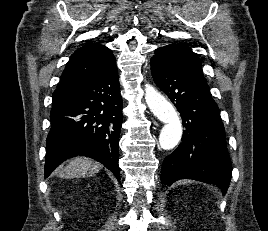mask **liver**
Returning a JSON list of instances; mask_svg holds the SVG:
<instances>
[{"instance_id":"obj_1","label":"liver","mask_w":268,"mask_h":231,"mask_svg":"<svg viewBox=\"0 0 268 231\" xmlns=\"http://www.w3.org/2000/svg\"><path fill=\"white\" fill-rule=\"evenodd\" d=\"M100 168L101 164L90 158L75 157L66 167H60L58 176L67 179L91 177L98 173Z\"/></svg>"}]
</instances>
